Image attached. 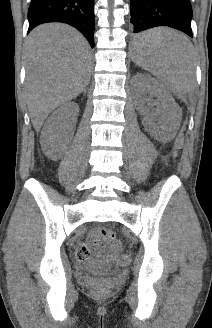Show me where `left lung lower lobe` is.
<instances>
[{
	"mask_svg": "<svg viewBox=\"0 0 212 328\" xmlns=\"http://www.w3.org/2000/svg\"><path fill=\"white\" fill-rule=\"evenodd\" d=\"M130 12L134 33L152 27L168 26L193 37L192 7L189 0H130ZM140 45L142 42L136 37L135 48Z\"/></svg>",
	"mask_w": 212,
	"mask_h": 328,
	"instance_id": "1",
	"label": "left lung lower lobe"
}]
</instances>
